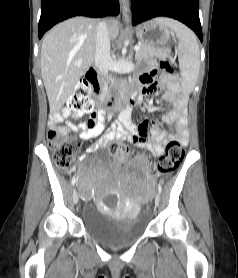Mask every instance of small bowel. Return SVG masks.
<instances>
[{
	"label": "small bowel",
	"mask_w": 238,
	"mask_h": 278,
	"mask_svg": "<svg viewBox=\"0 0 238 278\" xmlns=\"http://www.w3.org/2000/svg\"><path fill=\"white\" fill-rule=\"evenodd\" d=\"M156 74L157 63L152 61L149 69L143 72L138 78L136 106L141 104L145 96L165 87L166 89L162 98L173 104L174 108L164 114L162 118L167 124L175 125L176 133L169 135L162 131L155 122L148 119L136 125L132 122V111L124 112L111 128L106 130L101 137L87 149L89 153L105 148L109 142L114 140L127 141L133 146L149 151L154 156L162 155L165 146L170 141H177L182 146L187 145V94L181 89L176 78H162L160 82H157L155 81ZM81 115V112H71L69 109L63 108L52 114L50 126L61 131L67 129L78 130L80 138L84 140L99 136L103 131L106 121L104 112H92L85 122H81L77 125L67 123L65 126H59V124L68 117H79ZM126 157L127 156L120 159L125 160ZM147 178H151L149 174H147Z\"/></svg>",
	"instance_id": "c3829d8e"
}]
</instances>
